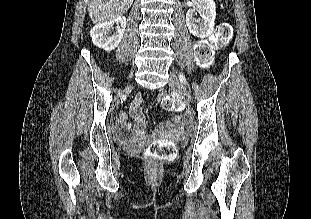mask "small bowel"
I'll return each instance as SVG.
<instances>
[{"instance_id":"obj_1","label":"small bowel","mask_w":311,"mask_h":219,"mask_svg":"<svg viewBox=\"0 0 311 219\" xmlns=\"http://www.w3.org/2000/svg\"><path fill=\"white\" fill-rule=\"evenodd\" d=\"M142 102V97L136 95L129 105L130 113L135 121L133 128L130 131H124L120 134V139L122 141L137 142L146 137V122L144 115L140 110V104ZM121 125H127L126 115H122L120 119ZM162 130H166L168 134L173 137L180 138L183 137L187 131L186 124L181 116H174L172 122L169 125L161 126ZM160 132L157 130L156 133Z\"/></svg>"}]
</instances>
